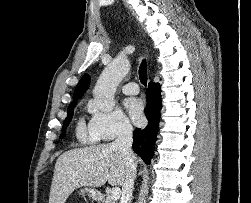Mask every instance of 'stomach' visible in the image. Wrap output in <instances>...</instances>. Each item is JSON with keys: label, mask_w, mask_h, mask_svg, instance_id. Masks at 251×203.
Returning <instances> with one entry per match:
<instances>
[{"label": "stomach", "mask_w": 251, "mask_h": 203, "mask_svg": "<svg viewBox=\"0 0 251 203\" xmlns=\"http://www.w3.org/2000/svg\"><path fill=\"white\" fill-rule=\"evenodd\" d=\"M79 195L82 196V197H85V196H90V197H96L97 196V191L94 189V188H87V187H84V188H81L79 190Z\"/></svg>", "instance_id": "1"}]
</instances>
